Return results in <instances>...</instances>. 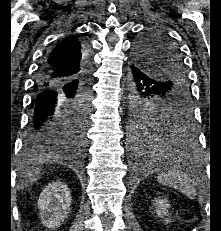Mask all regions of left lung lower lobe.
Listing matches in <instances>:
<instances>
[{
    "label": "left lung lower lobe",
    "mask_w": 221,
    "mask_h": 231,
    "mask_svg": "<svg viewBox=\"0 0 221 231\" xmlns=\"http://www.w3.org/2000/svg\"><path fill=\"white\" fill-rule=\"evenodd\" d=\"M131 68V82L133 87V102L131 117H134L141 109L142 101L145 97L159 93L164 88V83L152 78L138 65ZM169 129L184 130L182 134L175 132H158L153 137L139 136L132 131V144L139 155L146 156L151 162L157 160V151L167 149L170 157L167 163L181 167L189 165L190 159L197 154L196 137L193 132L191 117L181 120L179 123L171 125Z\"/></svg>",
    "instance_id": "left-lung-lower-lobe-1"
}]
</instances>
